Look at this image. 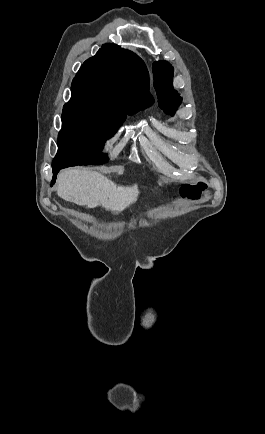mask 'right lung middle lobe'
I'll use <instances>...</instances> for the list:
<instances>
[{
  "instance_id": "obj_1",
  "label": "right lung middle lobe",
  "mask_w": 265,
  "mask_h": 434,
  "mask_svg": "<svg viewBox=\"0 0 265 434\" xmlns=\"http://www.w3.org/2000/svg\"><path fill=\"white\" fill-rule=\"evenodd\" d=\"M71 92V99L63 108L58 152L52 168L105 163L108 157L101 153L105 141L115 134L127 114L145 108L111 100L94 89Z\"/></svg>"
}]
</instances>
